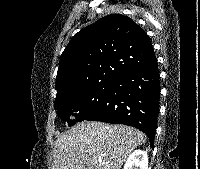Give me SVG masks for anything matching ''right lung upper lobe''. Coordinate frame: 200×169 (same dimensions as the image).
<instances>
[{
  "label": "right lung upper lobe",
  "mask_w": 200,
  "mask_h": 169,
  "mask_svg": "<svg viewBox=\"0 0 200 169\" xmlns=\"http://www.w3.org/2000/svg\"><path fill=\"white\" fill-rule=\"evenodd\" d=\"M155 61L151 41L140 26L127 16L108 15L79 31L66 46L57 72L55 100Z\"/></svg>",
  "instance_id": "cb5924a9"
}]
</instances>
